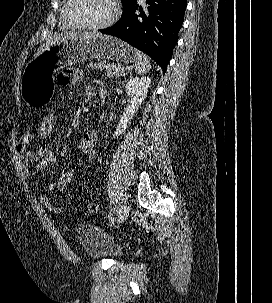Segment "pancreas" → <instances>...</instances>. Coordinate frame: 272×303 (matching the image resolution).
Segmentation results:
<instances>
[{
    "mask_svg": "<svg viewBox=\"0 0 272 303\" xmlns=\"http://www.w3.org/2000/svg\"><path fill=\"white\" fill-rule=\"evenodd\" d=\"M88 67L91 69L98 68L100 71H105L108 77H120L124 75L123 72H120V68H122V65L120 64L100 61L98 63H90Z\"/></svg>",
    "mask_w": 272,
    "mask_h": 303,
    "instance_id": "obj_1",
    "label": "pancreas"
}]
</instances>
